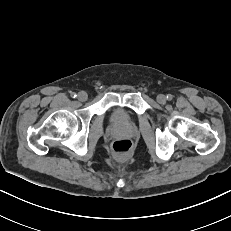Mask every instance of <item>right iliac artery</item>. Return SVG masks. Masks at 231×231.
Returning <instances> with one entry per match:
<instances>
[{
	"label": "right iliac artery",
	"instance_id": "82829eb1",
	"mask_svg": "<svg viewBox=\"0 0 231 231\" xmlns=\"http://www.w3.org/2000/svg\"><path fill=\"white\" fill-rule=\"evenodd\" d=\"M71 97H72V98H75V97H76V93H74V92L71 93Z\"/></svg>",
	"mask_w": 231,
	"mask_h": 231
}]
</instances>
